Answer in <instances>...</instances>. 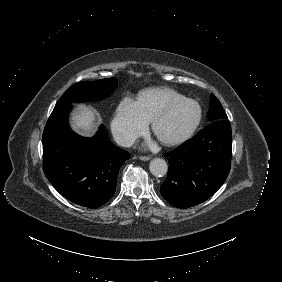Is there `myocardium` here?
Returning <instances> with one entry per match:
<instances>
[{
  "label": "myocardium",
  "instance_id": "1",
  "mask_svg": "<svg viewBox=\"0 0 282 282\" xmlns=\"http://www.w3.org/2000/svg\"><path fill=\"white\" fill-rule=\"evenodd\" d=\"M186 103H194L197 106L198 112L196 117L187 125V127L181 131L178 135L170 138L163 137L160 132H159V126L162 123V121L171 113L174 109L186 104ZM202 118V111L200 106L194 102L193 100L187 98V97H182L178 100L172 101L169 104H167L163 110H161L156 117L153 120L152 128L157 136V138L165 145H177L180 144L184 141H186L192 133L195 131V129L198 127L200 124Z\"/></svg>",
  "mask_w": 282,
  "mask_h": 282
}]
</instances>
